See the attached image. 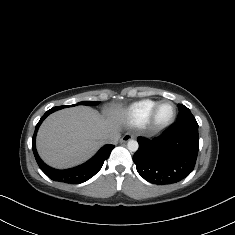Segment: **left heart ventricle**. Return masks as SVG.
I'll list each match as a JSON object with an SVG mask.
<instances>
[{
	"instance_id": "left-heart-ventricle-1",
	"label": "left heart ventricle",
	"mask_w": 235,
	"mask_h": 235,
	"mask_svg": "<svg viewBox=\"0 0 235 235\" xmlns=\"http://www.w3.org/2000/svg\"><path fill=\"white\" fill-rule=\"evenodd\" d=\"M174 114V106L170 102L162 104L158 110L157 117L160 122L168 121Z\"/></svg>"
}]
</instances>
